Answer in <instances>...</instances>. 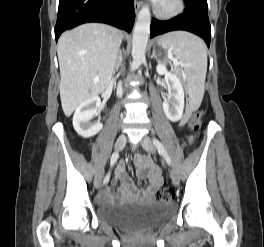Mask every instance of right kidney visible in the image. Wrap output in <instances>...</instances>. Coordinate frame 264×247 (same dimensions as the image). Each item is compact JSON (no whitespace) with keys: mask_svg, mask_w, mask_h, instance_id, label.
Instances as JSON below:
<instances>
[{"mask_svg":"<svg viewBox=\"0 0 264 247\" xmlns=\"http://www.w3.org/2000/svg\"><path fill=\"white\" fill-rule=\"evenodd\" d=\"M100 103L98 97H92L83 101L76 108L73 116V126L80 136L89 138L96 135L102 129L103 125L100 122H91L97 114V109L100 106Z\"/></svg>","mask_w":264,"mask_h":247,"instance_id":"right-kidney-1","label":"right kidney"}]
</instances>
